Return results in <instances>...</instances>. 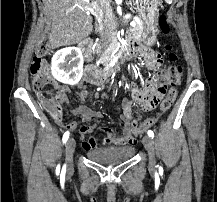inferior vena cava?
<instances>
[{
	"label": "inferior vena cava",
	"mask_w": 217,
	"mask_h": 202,
	"mask_svg": "<svg viewBox=\"0 0 217 202\" xmlns=\"http://www.w3.org/2000/svg\"><path fill=\"white\" fill-rule=\"evenodd\" d=\"M99 4H104V6H106V4H108V0H99ZM110 38V34H108V32H106V30H100V40H101V44L102 46H106V44H108V40Z\"/></svg>",
	"instance_id": "obj_1"
}]
</instances>
